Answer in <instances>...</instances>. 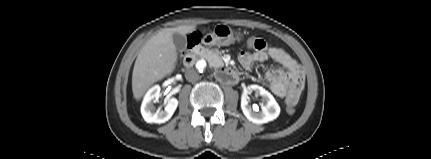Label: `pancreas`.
<instances>
[{
	"instance_id": "1",
	"label": "pancreas",
	"mask_w": 431,
	"mask_h": 159,
	"mask_svg": "<svg viewBox=\"0 0 431 159\" xmlns=\"http://www.w3.org/2000/svg\"><path fill=\"white\" fill-rule=\"evenodd\" d=\"M199 55L201 58H204L208 61V63L213 67H219L222 65V59L220 56V52L218 50H210L207 48H202L199 51Z\"/></svg>"
}]
</instances>
